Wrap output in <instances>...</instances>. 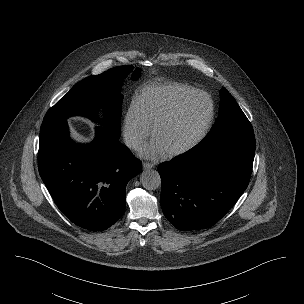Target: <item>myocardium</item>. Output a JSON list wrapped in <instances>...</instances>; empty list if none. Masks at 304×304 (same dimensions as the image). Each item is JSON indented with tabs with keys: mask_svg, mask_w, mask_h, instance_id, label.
Segmentation results:
<instances>
[{
	"mask_svg": "<svg viewBox=\"0 0 304 304\" xmlns=\"http://www.w3.org/2000/svg\"><path fill=\"white\" fill-rule=\"evenodd\" d=\"M197 98L205 99L208 103V113H207L206 119H205L202 127L200 128L199 132L197 133V135L189 143H187L186 145H184L178 149L167 152V155L169 157H178V156H181V155H184V154L190 152L196 146H198L202 142V140L205 138V136L207 135V133L212 125L213 118H214L215 108H214V102H213L212 98L207 93L202 92V91L192 92V93L184 96L183 98H181L178 102H176L169 110H167L160 117H158L152 125V134L155 137V134H156L158 128L162 124H164L165 122H167L168 120L173 118L188 102H190L194 99H197Z\"/></svg>",
	"mask_w": 304,
	"mask_h": 304,
	"instance_id": "f54148a6",
	"label": "myocardium"
}]
</instances>
